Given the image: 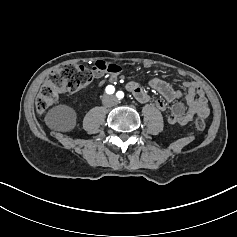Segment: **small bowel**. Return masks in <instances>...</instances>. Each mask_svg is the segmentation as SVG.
<instances>
[{"label": "small bowel", "mask_w": 237, "mask_h": 237, "mask_svg": "<svg viewBox=\"0 0 237 237\" xmlns=\"http://www.w3.org/2000/svg\"><path fill=\"white\" fill-rule=\"evenodd\" d=\"M148 83L163 97V100H155L154 105L159 110L168 113L167 121L169 124L185 126L192 122L195 117L203 119L208 117L207 98L201 86L196 82L185 81L183 83V87L186 89L187 107L181 102H175L181 98V92L175 90L168 82L157 77H150ZM126 88L139 102L145 103L151 100L150 94L138 81H129Z\"/></svg>", "instance_id": "1"}]
</instances>
